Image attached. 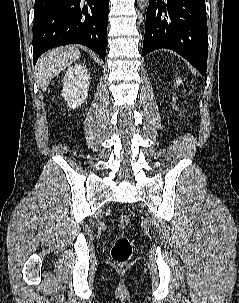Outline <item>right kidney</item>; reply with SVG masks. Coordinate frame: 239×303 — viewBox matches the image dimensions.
<instances>
[{"label": "right kidney", "instance_id": "obj_1", "mask_svg": "<svg viewBox=\"0 0 239 303\" xmlns=\"http://www.w3.org/2000/svg\"><path fill=\"white\" fill-rule=\"evenodd\" d=\"M90 76L86 67L75 64L64 75L62 97L71 109H76L88 97Z\"/></svg>", "mask_w": 239, "mask_h": 303}]
</instances>
